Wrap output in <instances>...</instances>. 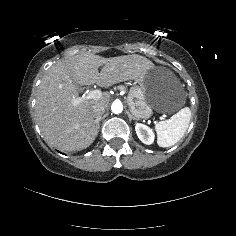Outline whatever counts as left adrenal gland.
Segmentation results:
<instances>
[{
    "label": "left adrenal gland",
    "mask_w": 236,
    "mask_h": 236,
    "mask_svg": "<svg viewBox=\"0 0 236 236\" xmlns=\"http://www.w3.org/2000/svg\"><path fill=\"white\" fill-rule=\"evenodd\" d=\"M126 113H127V115H128L129 120H131V119H137V118H135V117L132 115V113H130L128 110H126Z\"/></svg>",
    "instance_id": "obj_1"
}]
</instances>
